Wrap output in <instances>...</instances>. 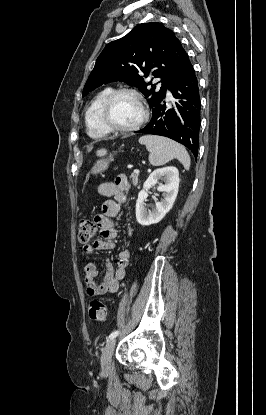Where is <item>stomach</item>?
Instances as JSON below:
<instances>
[{
    "instance_id": "obj_1",
    "label": "stomach",
    "mask_w": 266,
    "mask_h": 415,
    "mask_svg": "<svg viewBox=\"0 0 266 415\" xmlns=\"http://www.w3.org/2000/svg\"><path fill=\"white\" fill-rule=\"evenodd\" d=\"M105 155H106V152L104 154L100 155V156H105ZM111 161H113V155H111V154L106 158H102V159L98 160L94 164V166L92 167V169L90 170V172L87 174L86 177L89 178L90 175H96L100 172L105 171L108 168L109 163Z\"/></svg>"
}]
</instances>
